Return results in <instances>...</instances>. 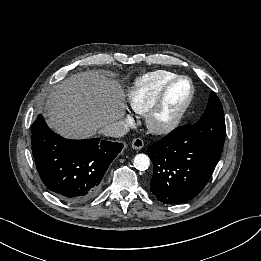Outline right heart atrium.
Here are the masks:
<instances>
[{
	"label": "right heart atrium",
	"instance_id": "1",
	"mask_svg": "<svg viewBox=\"0 0 261 261\" xmlns=\"http://www.w3.org/2000/svg\"><path fill=\"white\" fill-rule=\"evenodd\" d=\"M133 121V116L130 112L126 111L123 118V124L128 125Z\"/></svg>",
	"mask_w": 261,
	"mask_h": 261
}]
</instances>
